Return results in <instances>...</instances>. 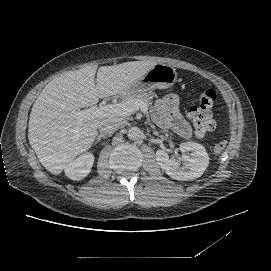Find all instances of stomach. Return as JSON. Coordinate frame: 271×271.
<instances>
[{
    "instance_id": "obj_1",
    "label": "stomach",
    "mask_w": 271,
    "mask_h": 271,
    "mask_svg": "<svg viewBox=\"0 0 271 271\" xmlns=\"http://www.w3.org/2000/svg\"><path fill=\"white\" fill-rule=\"evenodd\" d=\"M176 80L177 73L174 67L168 64L157 63L126 91V95L140 92V90L166 89L173 86Z\"/></svg>"
}]
</instances>
